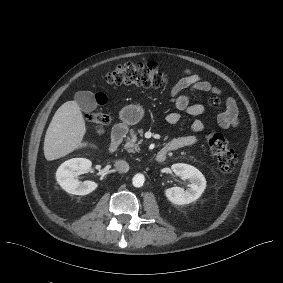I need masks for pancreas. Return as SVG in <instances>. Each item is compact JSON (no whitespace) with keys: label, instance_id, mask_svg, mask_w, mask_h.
I'll list each match as a JSON object with an SVG mask.
<instances>
[{"label":"pancreas","instance_id":"1","mask_svg":"<svg viewBox=\"0 0 283 283\" xmlns=\"http://www.w3.org/2000/svg\"><path fill=\"white\" fill-rule=\"evenodd\" d=\"M138 133L140 135H143V130L140 129L138 130ZM137 141V135L133 129L130 130V137L127 138V142L124 145V148L127 150L129 153H135L140 151L139 144L136 143Z\"/></svg>","mask_w":283,"mask_h":283}]
</instances>
